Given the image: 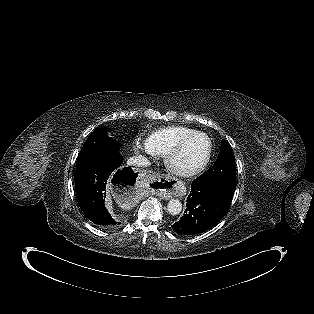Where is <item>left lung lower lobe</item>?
<instances>
[{
  "label": "left lung lower lobe",
  "mask_w": 314,
  "mask_h": 314,
  "mask_svg": "<svg viewBox=\"0 0 314 314\" xmlns=\"http://www.w3.org/2000/svg\"><path fill=\"white\" fill-rule=\"evenodd\" d=\"M236 180H194L184 216L172 225L179 235H194L212 228L227 213Z\"/></svg>",
  "instance_id": "left-lung-lower-lobe-1"
}]
</instances>
